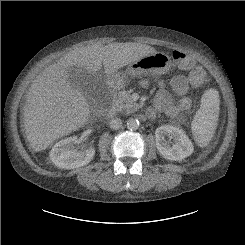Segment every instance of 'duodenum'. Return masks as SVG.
I'll return each mask as SVG.
<instances>
[{
	"mask_svg": "<svg viewBox=\"0 0 245 245\" xmlns=\"http://www.w3.org/2000/svg\"><path fill=\"white\" fill-rule=\"evenodd\" d=\"M121 81L119 80L118 77L116 76H112L109 78V85H108V89L110 94L114 97L118 91L121 89ZM116 114V110L114 108V103L112 102L110 104V106L108 107V109L105 112V116L107 118H113Z\"/></svg>",
	"mask_w": 245,
	"mask_h": 245,
	"instance_id": "duodenum-1",
	"label": "duodenum"
}]
</instances>
